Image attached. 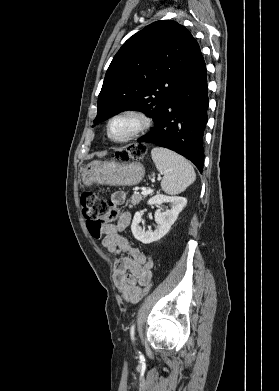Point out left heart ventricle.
<instances>
[{"label": "left heart ventricle", "instance_id": "b2bd125f", "mask_svg": "<svg viewBox=\"0 0 279 391\" xmlns=\"http://www.w3.org/2000/svg\"><path fill=\"white\" fill-rule=\"evenodd\" d=\"M136 125V121L130 117H124L113 122L111 134L115 138L125 137Z\"/></svg>", "mask_w": 279, "mask_h": 391}]
</instances>
